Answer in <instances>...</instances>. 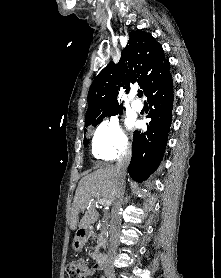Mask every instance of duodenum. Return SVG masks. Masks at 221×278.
<instances>
[{"instance_id": "obj_1", "label": "duodenum", "mask_w": 221, "mask_h": 278, "mask_svg": "<svg viewBox=\"0 0 221 278\" xmlns=\"http://www.w3.org/2000/svg\"><path fill=\"white\" fill-rule=\"evenodd\" d=\"M89 234V230L88 228H83L80 230L79 234H78V239L80 242H84L86 240V238L88 237ZM106 260H107V256L104 253H97L95 256V268L97 270H101L104 268L105 264H106Z\"/></svg>"}]
</instances>
